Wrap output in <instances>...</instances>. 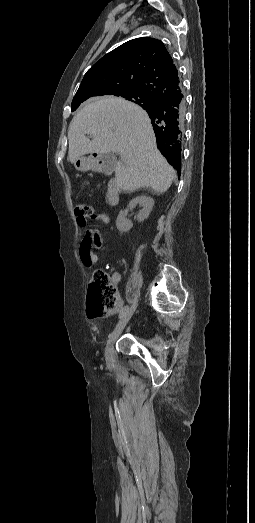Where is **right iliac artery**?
<instances>
[{"instance_id": "82829eb1", "label": "right iliac artery", "mask_w": 255, "mask_h": 523, "mask_svg": "<svg viewBox=\"0 0 255 523\" xmlns=\"http://www.w3.org/2000/svg\"><path fill=\"white\" fill-rule=\"evenodd\" d=\"M128 310V306H124L121 311H120V314H119V318H122L124 316V314L126 313V311Z\"/></svg>"}]
</instances>
